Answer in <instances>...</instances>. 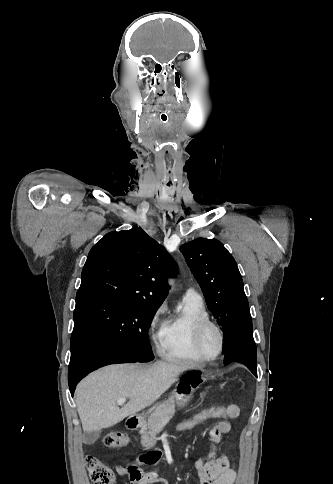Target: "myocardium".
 <instances>
[{"mask_svg":"<svg viewBox=\"0 0 333 484\" xmlns=\"http://www.w3.org/2000/svg\"><path fill=\"white\" fill-rule=\"evenodd\" d=\"M209 329L215 330L219 338V349L214 356H208L203 349V339H204L205 333ZM224 344H225L224 334L222 329L217 323H215L210 319H206L197 324L194 331V346L199 356L205 362H211V361L217 360L223 354Z\"/></svg>","mask_w":333,"mask_h":484,"instance_id":"myocardium-1","label":"myocardium"}]
</instances>
